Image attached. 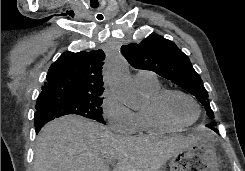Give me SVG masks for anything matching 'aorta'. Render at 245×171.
I'll return each instance as SVG.
<instances>
[{
  "instance_id": "1",
  "label": "aorta",
  "mask_w": 245,
  "mask_h": 171,
  "mask_svg": "<svg viewBox=\"0 0 245 171\" xmlns=\"http://www.w3.org/2000/svg\"><path fill=\"white\" fill-rule=\"evenodd\" d=\"M104 78L111 92L124 105L134 110L141 107L138 91L130 77L128 64L123 57H117L106 66Z\"/></svg>"
}]
</instances>
